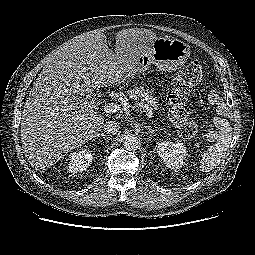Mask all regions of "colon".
<instances>
[{
    "mask_svg": "<svg viewBox=\"0 0 255 255\" xmlns=\"http://www.w3.org/2000/svg\"><path fill=\"white\" fill-rule=\"evenodd\" d=\"M202 66L194 61L185 66L173 82L172 91L169 94L171 122L177 127L183 137L201 139L202 132L199 127L188 118L185 107V95L202 80ZM208 102L216 105L220 102V95L216 91L208 94Z\"/></svg>",
    "mask_w": 255,
    "mask_h": 255,
    "instance_id": "1",
    "label": "colon"
}]
</instances>
